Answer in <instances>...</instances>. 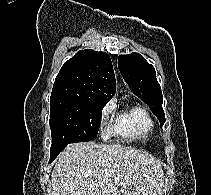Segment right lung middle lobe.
Wrapping results in <instances>:
<instances>
[{"label": "right lung middle lobe", "mask_w": 211, "mask_h": 195, "mask_svg": "<svg viewBox=\"0 0 211 195\" xmlns=\"http://www.w3.org/2000/svg\"><path fill=\"white\" fill-rule=\"evenodd\" d=\"M106 101L51 96V153L70 143L85 142L97 136Z\"/></svg>", "instance_id": "right-lung-middle-lobe-1"}]
</instances>
